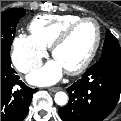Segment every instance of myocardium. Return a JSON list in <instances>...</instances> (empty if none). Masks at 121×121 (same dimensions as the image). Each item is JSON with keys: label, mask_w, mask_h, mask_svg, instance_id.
<instances>
[{"label": "myocardium", "mask_w": 121, "mask_h": 121, "mask_svg": "<svg viewBox=\"0 0 121 121\" xmlns=\"http://www.w3.org/2000/svg\"><path fill=\"white\" fill-rule=\"evenodd\" d=\"M85 22H91L94 24L95 29H96V39L93 44V47L91 48V50L89 51V53L87 54L85 59L77 67L70 69V70H66V73L69 75H78V74L82 73L84 70H86L88 68V66L91 64L94 57L96 56V54L99 50L101 41H102V31H101L99 22L92 17H82V18L76 20L75 22L71 23L70 25H68L58 35V37L55 39V41L51 45V53H52V56L55 57L57 49L68 40L70 35L73 33V31L79 25H81L82 23H85Z\"/></svg>", "instance_id": "1"}]
</instances>
